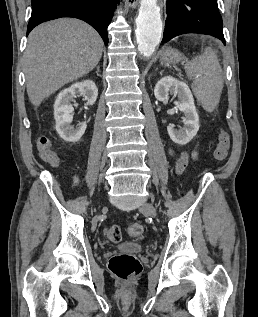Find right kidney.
<instances>
[{
    "label": "right kidney",
    "mask_w": 258,
    "mask_h": 317,
    "mask_svg": "<svg viewBox=\"0 0 258 317\" xmlns=\"http://www.w3.org/2000/svg\"><path fill=\"white\" fill-rule=\"evenodd\" d=\"M76 94H83L87 102L86 104H94L98 96V88L94 80H82V82H75L68 88L61 90L56 96L54 102V118L56 120V130L64 140L68 142H77L86 130V122L77 124L76 128L70 124L73 120L74 108L70 102Z\"/></svg>",
    "instance_id": "ca27d5eb"
}]
</instances>
